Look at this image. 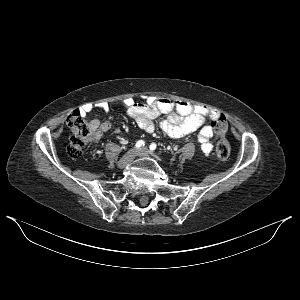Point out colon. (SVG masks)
I'll return each instance as SVG.
<instances>
[{"label": "colon", "mask_w": 300, "mask_h": 300, "mask_svg": "<svg viewBox=\"0 0 300 300\" xmlns=\"http://www.w3.org/2000/svg\"><path fill=\"white\" fill-rule=\"evenodd\" d=\"M66 123L72 131L70 143L67 149L71 158L77 159L82 156L84 149L91 137L90 124L85 120L84 115L79 110L72 111L66 118ZM211 127L215 132L222 134L226 130V118L223 114L211 117ZM231 153L228 141L220 139L216 145V154L221 160H227Z\"/></svg>", "instance_id": "obj_1"}]
</instances>
